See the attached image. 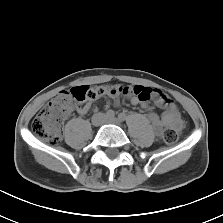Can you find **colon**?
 <instances>
[{"instance_id": "1", "label": "colon", "mask_w": 223, "mask_h": 223, "mask_svg": "<svg viewBox=\"0 0 223 223\" xmlns=\"http://www.w3.org/2000/svg\"><path fill=\"white\" fill-rule=\"evenodd\" d=\"M128 91L129 87L122 85L99 88L84 85L60 92L35 116L31 124L32 132L52 145H59L62 140V123L72 106L81 107L84 102ZM152 92L150 88L143 86L131 88V93L141 102L148 101ZM163 139L166 143L173 144L178 140V133L173 128H167L163 132Z\"/></svg>"}]
</instances>
